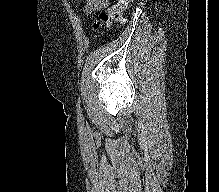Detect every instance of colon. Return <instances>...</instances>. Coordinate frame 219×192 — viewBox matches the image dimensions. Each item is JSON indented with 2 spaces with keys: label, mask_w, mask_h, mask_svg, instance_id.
Returning <instances> with one entry per match:
<instances>
[{
  "label": "colon",
  "mask_w": 219,
  "mask_h": 192,
  "mask_svg": "<svg viewBox=\"0 0 219 192\" xmlns=\"http://www.w3.org/2000/svg\"><path fill=\"white\" fill-rule=\"evenodd\" d=\"M134 0H118L117 4L106 13H101L94 21L93 27L96 30L105 29L114 22L124 21V12Z\"/></svg>",
  "instance_id": "colon-1"
}]
</instances>
